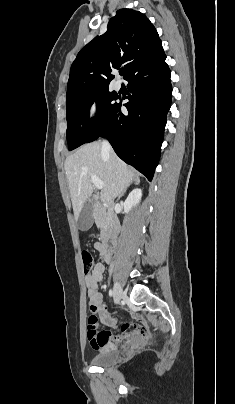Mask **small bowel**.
Masks as SVG:
<instances>
[{"mask_svg": "<svg viewBox=\"0 0 235 404\" xmlns=\"http://www.w3.org/2000/svg\"><path fill=\"white\" fill-rule=\"evenodd\" d=\"M94 249L98 252L100 258L106 261V253L103 244L101 242H95ZM104 272V265L102 263H97L93 267L91 273L85 277V284L88 289L90 311L92 314L98 315L107 325L115 327V321L111 318L109 312L105 308L103 295L98 290L99 283L103 279ZM125 311L133 315L136 319H138V321H141L140 316L136 314L130 307H126ZM130 329V324H123L121 327V334L116 336L112 335V333L108 330L98 332L96 329L95 333L88 330V339L93 349H113L118 343L130 337ZM133 332L136 334L143 333V325L139 324L138 326L134 327Z\"/></svg>", "mask_w": 235, "mask_h": 404, "instance_id": "c3829d8e", "label": "small bowel"}]
</instances>
